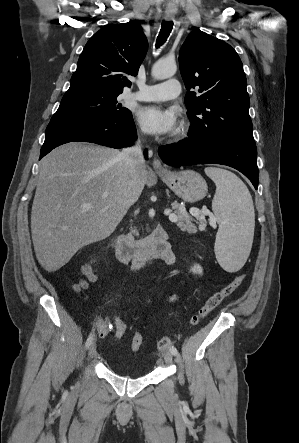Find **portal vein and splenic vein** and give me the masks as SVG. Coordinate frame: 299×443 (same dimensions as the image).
Instances as JSON below:
<instances>
[{
  "label": "portal vein and splenic vein",
  "mask_w": 299,
  "mask_h": 443,
  "mask_svg": "<svg viewBox=\"0 0 299 443\" xmlns=\"http://www.w3.org/2000/svg\"><path fill=\"white\" fill-rule=\"evenodd\" d=\"M82 208H90V205L89 204H85V205H83L82 206ZM164 214H166V215H169V220L171 221V222H176V220H177V216L175 215V214H173V213H171V211L170 210H165L164 211ZM195 215V214H194Z\"/></svg>",
  "instance_id": "obj_1"
}]
</instances>
